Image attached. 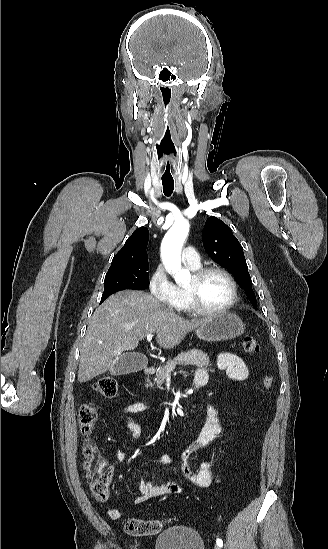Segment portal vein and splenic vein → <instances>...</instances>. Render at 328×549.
I'll use <instances>...</instances> for the list:
<instances>
[{"label": "portal vein and splenic vein", "instance_id": "obj_1", "mask_svg": "<svg viewBox=\"0 0 328 549\" xmlns=\"http://www.w3.org/2000/svg\"><path fill=\"white\" fill-rule=\"evenodd\" d=\"M146 339L150 343V341H152V339H153V335H147Z\"/></svg>", "mask_w": 328, "mask_h": 549}]
</instances>
